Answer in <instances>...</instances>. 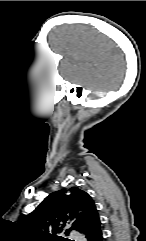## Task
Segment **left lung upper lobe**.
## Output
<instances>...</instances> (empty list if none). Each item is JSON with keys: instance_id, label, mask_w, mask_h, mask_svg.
Returning <instances> with one entry per match:
<instances>
[{"instance_id": "1", "label": "left lung upper lobe", "mask_w": 146, "mask_h": 241, "mask_svg": "<svg viewBox=\"0 0 146 241\" xmlns=\"http://www.w3.org/2000/svg\"><path fill=\"white\" fill-rule=\"evenodd\" d=\"M99 220L91 196L78 187L49 194L21 223L37 241H68L57 234L84 229ZM68 226L70 228L66 229Z\"/></svg>"}]
</instances>
